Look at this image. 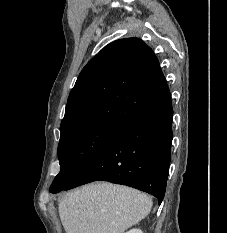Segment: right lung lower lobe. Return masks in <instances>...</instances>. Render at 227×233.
Returning a JSON list of instances; mask_svg holds the SVG:
<instances>
[{"mask_svg": "<svg viewBox=\"0 0 227 233\" xmlns=\"http://www.w3.org/2000/svg\"><path fill=\"white\" fill-rule=\"evenodd\" d=\"M172 118L170 98L159 108L117 131L62 190L93 181H109L149 193L161 204L171 160Z\"/></svg>", "mask_w": 227, "mask_h": 233, "instance_id": "1", "label": "right lung lower lobe"}]
</instances>
